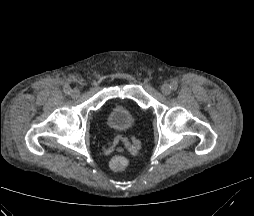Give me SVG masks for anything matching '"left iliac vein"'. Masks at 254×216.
I'll return each mask as SVG.
<instances>
[{
	"mask_svg": "<svg viewBox=\"0 0 254 216\" xmlns=\"http://www.w3.org/2000/svg\"><path fill=\"white\" fill-rule=\"evenodd\" d=\"M161 91L164 95H170L171 93V87L168 83H164L162 86H161Z\"/></svg>",
	"mask_w": 254,
	"mask_h": 216,
	"instance_id": "4c4485c4",
	"label": "left iliac vein"
}]
</instances>
